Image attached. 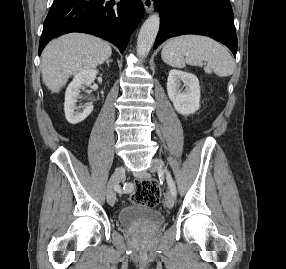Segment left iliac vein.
I'll return each mask as SVG.
<instances>
[{
    "label": "left iliac vein",
    "mask_w": 286,
    "mask_h": 269,
    "mask_svg": "<svg viewBox=\"0 0 286 269\" xmlns=\"http://www.w3.org/2000/svg\"><path fill=\"white\" fill-rule=\"evenodd\" d=\"M164 170H165V165H164V162L162 160L157 159V158L152 159V165L150 167L151 172L162 173ZM174 203H175V197L170 190L166 193L165 205L167 208L171 209V208H173Z\"/></svg>",
    "instance_id": "obj_1"
}]
</instances>
